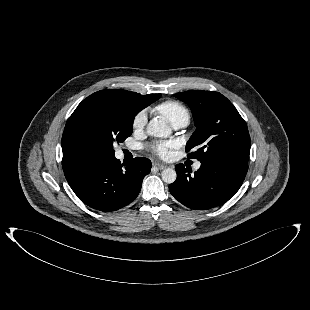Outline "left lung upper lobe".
I'll list each match as a JSON object with an SVG mask.
<instances>
[{
	"label": "left lung upper lobe",
	"mask_w": 310,
	"mask_h": 310,
	"mask_svg": "<svg viewBox=\"0 0 310 310\" xmlns=\"http://www.w3.org/2000/svg\"><path fill=\"white\" fill-rule=\"evenodd\" d=\"M174 96L192 109L196 131L186 145L189 158L201 163L236 160L247 163L250 136L246 122L234 105L215 91H186Z\"/></svg>",
	"instance_id": "5c2ea615"
}]
</instances>
